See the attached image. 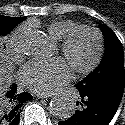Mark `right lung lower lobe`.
I'll return each mask as SVG.
<instances>
[{
	"mask_svg": "<svg viewBox=\"0 0 125 125\" xmlns=\"http://www.w3.org/2000/svg\"><path fill=\"white\" fill-rule=\"evenodd\" d=\"M9 101L8 105L0 106V125H18L20 120V106L28 100L32 99L31 94H17L16 85L13 84L6 94Z\"/></svg>",
	"mask_w": 125,
	"mask_h": 125,
	"instance_id": "98d812e1",
	"label": "right lung lower lobe"
}]
</instances>
